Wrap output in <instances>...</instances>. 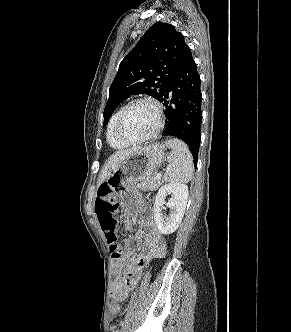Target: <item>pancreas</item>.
<instances>
[{
  "label": "pancreas",
  "mask_w": 291,
  "mask_h": 332,
  "mask_svg": "<svg viewBox=\"0 0 291 332\" xmlns=\"http://www.w3.org/2000/svg\"><path fill=\"white\" fill-rule=\"evenodd\" d=\"M161 180L156 177H151L147 180L141 181L137 184V188L142 191H154L157 190L161 185Z\"/></svg>",
  "instance_id": "obj_1"
}]
</instances>
